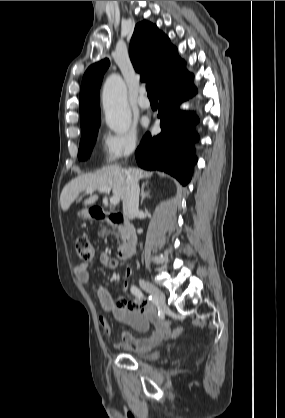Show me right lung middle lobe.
<instances>
[{"label":"right lung middle lobe","instance_id":"right-lung-middle-lobe-1","mask_svg":"<svg viewBox=\"0 0 285 418\" xmlns=\"http://www.w3.org/2000/svg\"><path fill=\"white\" fill-rule=\"evenodd\" d=\"M99 126L100 119L81 126L82 137L78 150L79 160H86L89 157L97 138Z\"/></svg>","mask_w":285,"mask_h":418}]
</instances>
